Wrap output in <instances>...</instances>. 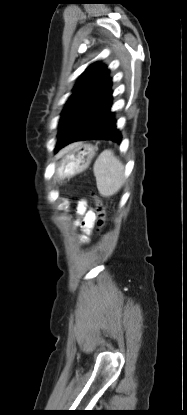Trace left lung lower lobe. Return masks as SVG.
I'll return each instance as SVG.
<instances>
[{"label": "left lung lower lobe", "instance_id": "1", "mask_svg": "<svg viewBox=\"0 0 187 415\" xmlns=\"http://www.w3.org/2000/svg\"><path fill=\"white\" fill-rule=\"evenodd\" d=\"M112 81L105 68L91 87L81 109L72 124L64 133L56 151L81 140L106 139L120 143L122 136L116 129V121L111 109Z\"/></svg>", "mask_w": 187, "mask_h": 415}]
</instances>
